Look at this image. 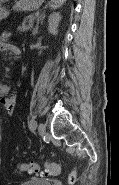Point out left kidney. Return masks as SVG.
I'll return each instance as SVG.
<instances>
[{
	"label": "left kidney",
	"mask_w": 119,
	"mask_h": 185,
	"mask_svg": "<svg viewBox=\"0 0 119 185\" xmlns=\"http://www.w3.org/2000/svg\"><path fill=\"white\" fill-rule=\"evenodd\" d=\"M61 20V15L60 13H52L49 18H48V32L51 34H57L58 33V25Z\"/></svg>",
	"instance_id": "5707ae66"
}]
</instances>
